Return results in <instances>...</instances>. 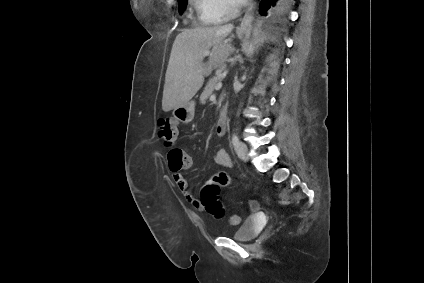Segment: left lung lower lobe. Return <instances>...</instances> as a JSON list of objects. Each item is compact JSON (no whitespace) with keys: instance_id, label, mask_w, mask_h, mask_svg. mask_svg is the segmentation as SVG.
I'll use <instances>...</instances> for the list:
<instances>
[{"instance_id":"1","label":"left lung lower lobe","mask_w":424,"mask_h":283,"mask_svg":"<svg viewBox=\"0 0 424 283\" xmlns=\"http://www.w3.org/2000/svg\"><path fill=\"white\" fill-rule=\"evenodd\" d=\"M276 1L280 2L278 7L280 9H284V8H286L290 5L292 0H264V2L261 3V13L260 14L266 15L268 8H270V4L275 6Z\"/></svg>"}]
</instances>
